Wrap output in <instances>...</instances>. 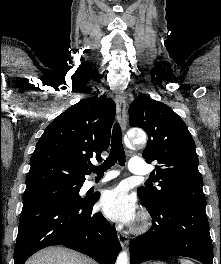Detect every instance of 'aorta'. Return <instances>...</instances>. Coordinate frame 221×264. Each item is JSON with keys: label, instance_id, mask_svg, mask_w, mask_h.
<instances>
[{"label": "aorta", "instance_id": "1", "mask_svg": "<svg viewBox=\"0 0 221 264\" xmlns=\"http://www.w3.org/2000/svg\"><path fill=\"white\" fill-rule=\"evenodd\" d=\"M131 141L135 144H144L146 141V137L142 134L140 135H131L130 136ZM116 264H130V258L126 254V252L120 253L118 256Z\"/></svg>", "mask_w": 221, "mask_h": 264}]
</instances>
